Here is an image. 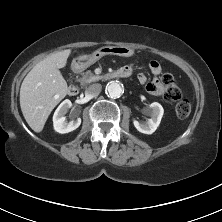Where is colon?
<instances>
[{
    "mask_svg": "<svg viewBox=\"0 0 222 222\" xmlns=\"http://www.w3.org/2000/svg\"><path fill=\"white\" fill-rule=\"evenodd\" d=\"M161 83L164 87V99L167 102L175 103L177 116L182 119L188 117L191 111L190 102L183 96L172 74L165 73L162 75Z\"/></svg>",
    "mask_w": 222,
    "mask_h": 222,
    "instance_id": "5ec220e1",
    "label": "colon"
}]
</instances>
